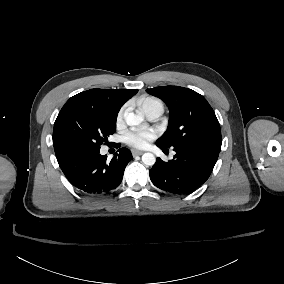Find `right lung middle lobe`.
<instances>
[{"mask_svg":"<svg viewBox=\"0 0 284 284\" xmlns=\"http://www.w3.org/2000/svg\"><path fill=\"white\" fill-rule=\"evenodd\" d=\"M117 114L85 99L70 98L59 112L53 129L56 155L99 149L116 131Z\"/></svg>","mask_w":284,"mask_h":284,"instance_id":"obj_1","label":"right lung middle lobe"}]
</instances>
